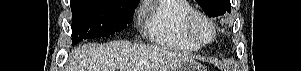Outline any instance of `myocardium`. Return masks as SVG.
<instances>
[{"label":"myocardium","instance_id":"1","mask_svg":"<svg viewBox=\"0 0 301 71\" xmlns=\"http://www.w3.org/2000/svg\"><path fill=\"white\" fill-rule=\"evenodd\" d=\"M198 21H203L206 23L211 29V37L209 40H202L198 37L196 32V23ZM184 30L187 36L195 42L199 47H204L212 44L216 39V26L212 19L208 17L206 14L199 10H191L189 13L186 14L184 17Z\"/></svg>","mask_w":301,"mask_h":71}]
</instances>
